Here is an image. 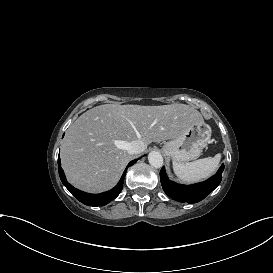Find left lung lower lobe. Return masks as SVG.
Returning <instances> with one entry per match:
<instances>
[{
    "mask_svg": "<svg viewBox=\"0 0 273 273\" xmlns=\"http://www.w3.org/2000/svg\"><path fill=\"white\" fill-rule=\"evenodd\" d=\"M224 165L208 180L194 185H180L170 181L164 167L160 171V180L164 192L172 199L182 203H197L210 194L221 182Z\"/></svg>",
    "mask_w": 273,
    "mask_h": 273,
    "instance_id": "left-lung-lower-lobe-1",
    "label": "left lung lower lobe"
}]
</instances>
